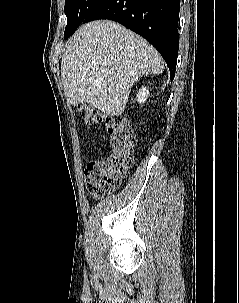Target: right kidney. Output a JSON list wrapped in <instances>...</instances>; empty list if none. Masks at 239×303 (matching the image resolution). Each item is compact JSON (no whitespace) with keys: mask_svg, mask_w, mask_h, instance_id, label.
I'll return each instance as SVG.
<instances>
[{"mask_svg":"<svg viewBox=\"0 0 239 303\" xmlns=\"http://www.w3.org/2000/svg\"><path fill=\"white\" fill-rule=\"evenodd\" d=\"M149 96V90L146 87H142L137 94V102L138 103H145Z\"/></svg>","mask_w":239,"mask_h":303,"instance_id":"ca27d5eb","label":"right kidney"}]
</instances>
